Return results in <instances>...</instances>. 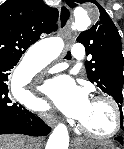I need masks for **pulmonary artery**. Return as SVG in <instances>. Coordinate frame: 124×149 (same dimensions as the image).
I'll return each mask as SVG.
<instances>
[{"label": "pulmonary artery", "instance_id": "pulmonary-artery-1", "mask_svg": "<svg viewBox=\"0 0 124 149\" xmlns=\"http://www.w3.org/2000/svg\"><path fill=\"white\" fill-rule=\"evenodd\" d=\"M71 53L74 59L76 60H83L85 57V47L82 43H76L72 49H71ZM67 67L66 64L60 63V64H55L53 66L50 67L49 71L51 73L54 72H59L64 70Z\"/></svg>", "mask_w": 124, "mask_h": 149}]
</instances>
